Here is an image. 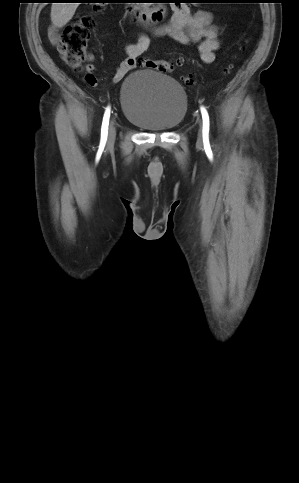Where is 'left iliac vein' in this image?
Returning <instances> with one entry per match:
<instances>
[{
  "label": "left iliac vein",
  "mask_w": 299,
  "mask_h": 483,
  "mask_svg": "<svg viewBox=\"0 0 299 483\" xmlns=\"http://www.w3.org/2000/svg\"><path fill=\"white\" fill-rule=\"evenodd\" d=\"M202 141H203V137H202V132L200 131L198 135V143L201 144Z\"/></svg>",
  "instance_id": "obj_1"
}]
</instances>
